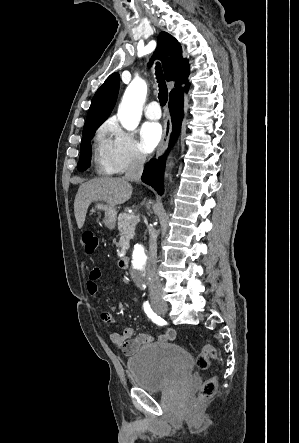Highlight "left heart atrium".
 Returning a JSON list of instances; mask_svg holds the SVG:
<instances>
[{"label": "left heart atrium", "mask_w": 299, "mask_h": 443, "mask_svg": "<svg viewBox=\"0 0 299 443\" xmlns=\"http://www.w3.org/2000/svg\"><path fill=\"white\" fill-rule=\"evenodd\" d=\"M141 146L144 152H152L162 138V127L157 122H147L141 129Z\"/></svg>", "instance_id": "left-heart-atrium-1"}]
</instances>
